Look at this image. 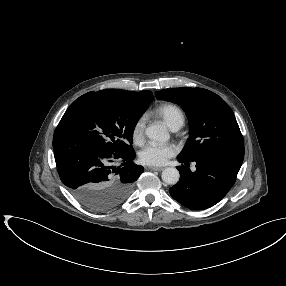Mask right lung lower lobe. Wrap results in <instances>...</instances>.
I'll return each instance as SVG.
<instances>
[{"mask_svg":"<svg viewBox=\"0 0 286 286\" xmlns=\"http://www.w3.org/2000/svg\"><path fill=\"white\" fill-rule=\"evenodd\" d=\"M53 150L63 184L79 202L95 210H107L123 202L144 171L132 162L134 150L108 154L62 122L54 132Z\"/></svg>","mask_w":286,"mask_h":286,"instance_id":"obj_1","label":"right lung lower lobe"}]
</instances>
